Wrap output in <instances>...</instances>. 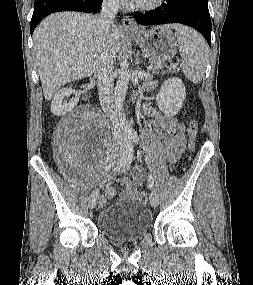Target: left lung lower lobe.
I'll return each mask as SVG.
<instances>
[{
	"mask_svg": "<svg viewBox=\"0 0 253 285\" xmlns=\"http://www.w3.org/2000/svg\"><path fill=\"white\" fill-rule=\"evenodd\" d=\"M208 0H166L156 10L146 14L134 13L135 20L142 25L181 23L198 30L211 47V19Z\"/></svg>",
	"mask_w": 253,
	"mask_h": 285,
	"instance_id": "left-lung-lower-lobe-1",
	"label": "left lung lower lobe"
}]
</instances>
